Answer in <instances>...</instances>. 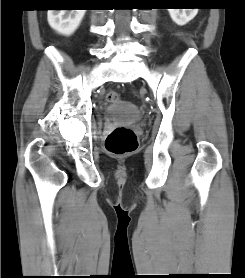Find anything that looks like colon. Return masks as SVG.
<instances>
[{
	"label": "colon",
	"instance_id": "obj_1",
	"mask_svg": "<svg viewBox=\"0 0 245 278\" xmlns=\"http://www.w3.org/2000/svg\"><path fill=\"white\" fill-rule=\"evenodd\" d=\"M106 98L108 101L113 102L118 99V95L114 92H109ZM105 148L109 154L115 157L130 155L138 148L137 137L132 129L118 126L107 136Z\"/></svg>",
	"mask_w": 245,
	"mask_h": 278
}]
</instances>
